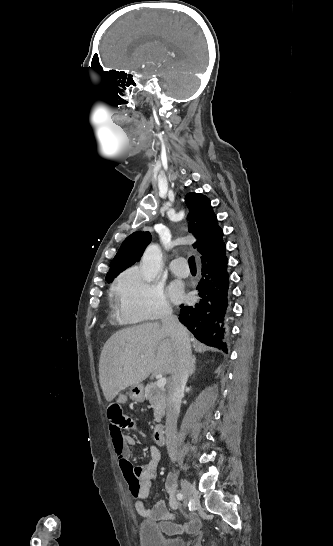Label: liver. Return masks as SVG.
<instances>
[{
	"mask_svg": "<svg viewBox=\"0 0 333 546\" xmlns=\"http://www.w3.org/2000/svg\"><path fill=\"white\" fill-rule=\"evenodd\" d=\"M176 347L159 323L151 322L113 334L103 346L99 379L108 402L121 390L140 384L150 374H172Z\"/></svg>",
	"mask_w": 333,
	"mask_h": 546,
	"instance_id": "obj_1",
	"label": "liver"
}]
</instances>
